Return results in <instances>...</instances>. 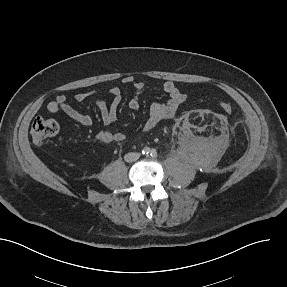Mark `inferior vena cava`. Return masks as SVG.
<instances>
[{
	"label": "inferior vena cava",
	"instance_id": "obj_1",
	"mask_svg": "<svg viewBox=\"0 0 287 287\" xmlns=\"http://www.w3.org/2000/svg\"><path fill=\"white\" fill-rule=\"evenodd\" d=\"M139 157H140L139 153L130 152L124 156V159L126 162H134V161L138 160Z\"/></svg>",
	"mask_w": 287,
	"mask_h": 287
}]
</instances>
